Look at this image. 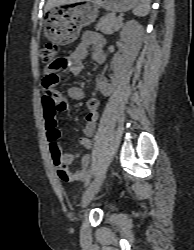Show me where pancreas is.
<instances>
[{"mask_svg":"<svg viewBox=\"0 0 194 250\" xmlns=\"http://www.w3.org/2000/svg\"><path fill=\"white\" fill-rule=\"evenodd\" d=\"M122 27V22L112 13L104 15L97 23L95 29L104 34H113Z\"/></svg>","mask_w":194,"mask_h":250,"instance_id":"obj_1","label":"pancreas"}]
</instances>
